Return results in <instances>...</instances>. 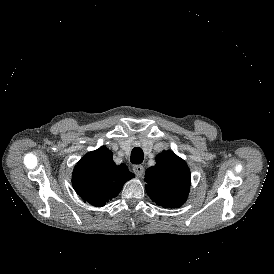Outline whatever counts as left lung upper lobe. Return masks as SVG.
Segmentation results:
<instances>
[{
	"instance_id": "left-lung-upper-lobe-1",
	"label": "left lung upper lobe",
	"mask_w": 274,
	"mask_h": 274,
	"mask_svg": "<svg viewBox=\"0 0 274 274\" xmlns=\"http://www.w3.org/2000/svg\"><path fill=\"white\" fill-rule=\"evenodd\" d=\"M147 194L164 208L180 207L187 199L190 170L184 160L172 151H163L156 157V165L145 173Z\"/></svg>"
}]
</instances>
